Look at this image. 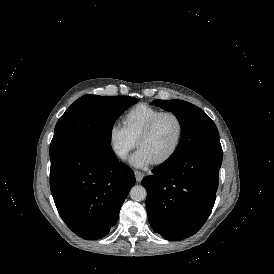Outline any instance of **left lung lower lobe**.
Instances as JSON below:
<instances>
[{"label": "left lung lower lobe", "mask_w": 274, "mask_h": 274, "mask_svg": "<svg viewBox=\"0 0 274 274\" xmlns=\"http://www.w3.org/2000/svg\"><path fill=\"white\" fill-rule=\"evenodd\" d=\"M222 158L221 146L200 148L165 161L143 178L148 219L156 233L177 241L202 227L215 203Z\"/></svg>", "instance_id": "1"}]
</instances>
